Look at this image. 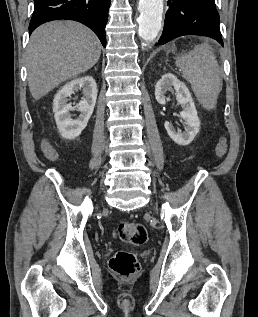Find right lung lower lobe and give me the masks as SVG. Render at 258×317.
I'll list each match as a JSON object with an SVG mask.
<instances>
[{
  "label": "right lung lower lobe",
  "mask_w": 258,
  "mask_h": 317,
  "mask_svg": "<svg viewBox=\"0 0 258 317\" xmlns=\"http://www.w3.org/2000/svg\"><path fill=\"white\" fill-rule=\"evenodd\" d=\"M109 7L110 0H34L29 34L48 21L74 20L92 29L105 47Z\"/></svg>",
  "instance_id": "98d812e1"
}]
</instances>
